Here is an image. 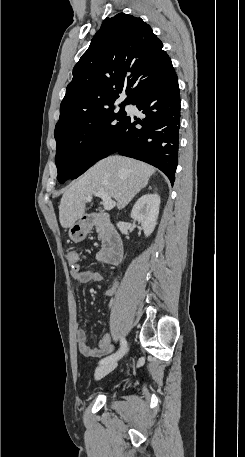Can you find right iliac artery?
Listing matches in <instances>:
<instances>
[{
	"label": "right iliac artery",
	"mask_w": 245,
	"mask_h": 457,
	"mask_svg": "<svg viewBox=\"0 0 245 457\" xmlns=\"http://www.w3.org/2000/svg\"><path fill=\"white\" fill-rule=\"evenodd\" d=\"M127 352V342L126 340L122 337L121 340H120V348L119 350L112 354V355H109L107 357H105L104 359H102L99 364H104V363H108V362H114L118 359H120L121 357H123V355Z\"/></svg>",
	"instance_id": "right-iliac-artery-1"
}]
</instances>
